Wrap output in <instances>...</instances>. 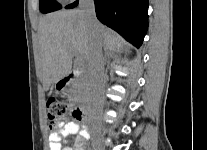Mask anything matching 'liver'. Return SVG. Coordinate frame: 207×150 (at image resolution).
Masks as SVG:
<instances>
[{
    "instance_id": "obj_1",
    "label": "liver",
    "mask_w": 207,
    "mask_h": 150,
    "mask_svg": "<svg viewBox=\"0 0 207 150\" xmlns=\"http://www.w3.org/2000/svg\"><path fill=\"white\" fill-rule=\"evenodd\" d=\"M102 46L105 50L119 51L124 41L121 37L98 23ZM43 86L49 90L71 73L72 55L82 64L88 63L93 38V30L84 19L81 10H62L47 14L38 28Z\"/></svg>"
}]
</instances>
